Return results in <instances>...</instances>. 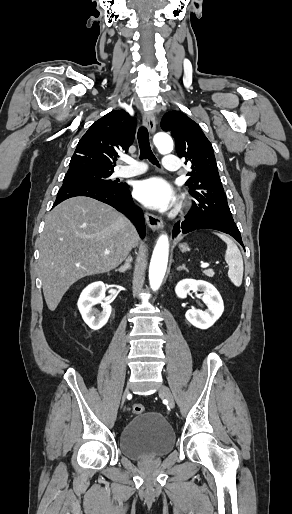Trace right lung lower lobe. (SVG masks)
Wrapping results in <instances>:
<instances>
[{"mask_svg":"<svg viewBox=\"0 0 292 514\" xmlns=\"http://www.w3.org/2000/svg\"><path fill=\"white\" fill-rule=\"evenodd\" d=\"M76 196L91 197L114 207L133 222L141 238L145 237L143 212L134 204L128 185L107 188L91 184H63L57 193L53 208L62 201Z\"/></svg>","mask_w":292,"mask_h":514,"instance_id":"right-lung-lower-lobe-1","label":"right lung lower lobe"}]
</instances>
